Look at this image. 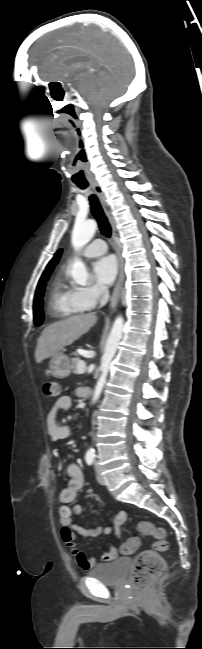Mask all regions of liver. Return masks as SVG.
Wrapping results in <instances>:
<instances>
[{
    "instance_id": "obj_1",
    "label": "liver",
    "mask_w": 202,
    "mask_h": 649,
    "mask_svg": "<svg viewBox=\"0 0 202 649\" xmlns=\"http://www.w3.org/2000/svg\"><path fill=\"white\" fill-rule=\"evenodd\" d=\"M95 313L69 317L47 326L38 338L35 349L37 363L58 354L85 334L96 322Z\"/></svg>"
}]
</instances>
